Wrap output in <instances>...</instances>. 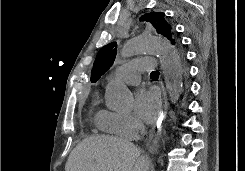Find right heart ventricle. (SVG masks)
<instances>
[{"label":"right heart ventricle","instance_id":"obj_1","mask_svg":"<svg viewBox=\"0 0 245 171\" xmlns=\"http://www.w3.org/2000/svg\"><path fill=\"white\" fill-rule=\"evenodd\" d=\"M104 111H99L95 114V121L97 124H99V119H100V116L102 115Z\"/></svg>","mask_w":245,"mask_h":171}]
</instances>
